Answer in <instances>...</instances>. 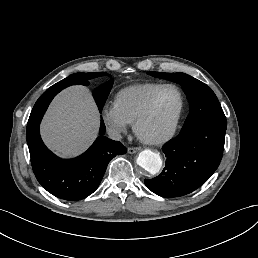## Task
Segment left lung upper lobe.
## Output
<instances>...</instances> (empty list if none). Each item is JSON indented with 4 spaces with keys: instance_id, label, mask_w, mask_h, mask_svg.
Segmentation results:
<instances>
[{
    "instance_id": "obj_1",
    "label": "left lung upper lobe",
    "mask_w": 258,
    "mask_h": 258,
    "mask_svg": "<svg viewBox=\"0 0 258 258\" xmlns=\"http://www.w3.org/2000/svg\"><path fill=\"white\" fill-rule=\"evenodd\" d=\"M182 86L190 103V113L180 133H186L198 126L214 125L226 129V118L214 92L203 82L185 73L148 72Z\"/></svg>"
}]
</instances>
